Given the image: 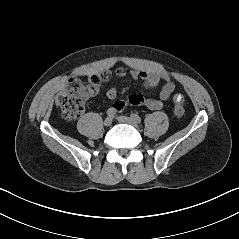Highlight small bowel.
<instances>
[{"label":"small bowel","instance_id":"small-bowel-1","mask_svg":"<svg viewBox=\"0 0 239 239\" xmlns=\"http://www.w3.org/2000/svg\"><path fill=\"white\" fill-rule=\"evenodd\" d=\"M128 73L134 80H142L143 86L147 89L156 87L160 82H164V85L160 91L158 98H144L139 94H132L129 96L127 101L123 100L115 101L113 103L112 108L116 112L122 111L128 105H141L150 110H160L163 107L164 101L168 100L175 91V84L171 81L169 75L166 73L136 69L128 71L124 67H119L114 71V73L107 71L100 74L90 75L88 78L89 83L92 84L90 95L91 96L96 95L100 90L99 89L100 83L103 81H108L113 75L117 78H122L126 76ZM106 96L110 100H115L117 97L116 89L110 88L106 92Z\"/></svg>","mask_w":239,"mask_h":239}]
</instances>
